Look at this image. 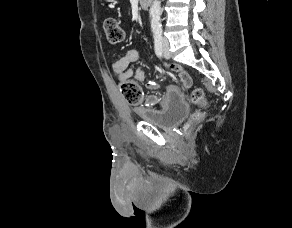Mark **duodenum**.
<instances>
[{"label":"duodenum","instance_id":"1","mask_svg":"<svg viewBox=\"0 0 292 228\" xmlns=\"http://www.w3.org/2000/svg\"><path fill=\"white\" fill-rule=\"evenodd\" d=\"M152 0H139V5L143 9H147L151 5Z\"/></svg>","mask_w":292,"mask_h":228}]
</instances>
